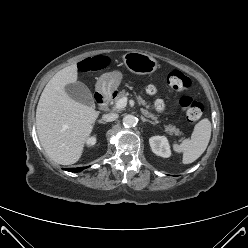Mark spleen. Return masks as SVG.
I'll return each instance as SVG.
<instances>
[{
    "mask_svg": "<svg viewBox=\"0 0 248 248\" xmlns=\"http://www.w3.org/2000/svg\"><path fill=\"white\" fill-rule=\"evenodd\" d=\"M210 137L211 122L208 118H204L195 125L191 139H184L179 145L174 144L173 149L183 153V164H190L204 153Z\"/></svg>",
    "mask_w": 248,
    "mask_h": 248,
    "instance_id": "obj_1",
    "label": "spleen"
}]
</instances>
